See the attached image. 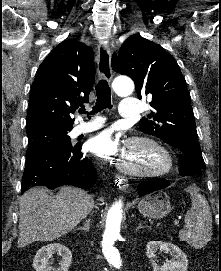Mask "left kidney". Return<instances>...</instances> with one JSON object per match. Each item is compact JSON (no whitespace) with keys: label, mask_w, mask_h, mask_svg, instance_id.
<instances>
[{"label":"left kidney","mask_w":221,"mask_h":271,"mask_svg":"<svg viewBox=\"0 0 221 271\" xmlns=\"http://www.w3.org/2000/svg\"><path fill=\"white\" fill-rule=\"evenodd\" d=\"M164 249L165 253L171 255V259L164 261L163 265L156 263L157 251ZM146 255L150 259L153 271H187L188 259L182 249L169 241H148Z\"/></svg>","instance_id":"5707ae66"}]
</instances>
